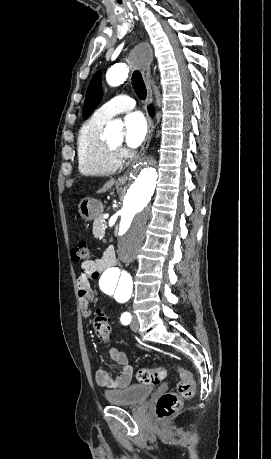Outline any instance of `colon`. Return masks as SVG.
<instances>
[{
  "label": "colon",
  "mask_w": 271,
  "mask_h": 459,
  "mask_svg": "<svg viewBox=\"0 0 271 459\" xmlns=\"http://www.w3.org/2000/svg\"><path fill=\"white\" fill-rule=\"evenodd\" d=\"M72 260L75 262L86 261L91 257V252L86 241H80L71 250ZM94 333L99 341L106 342L111 338V325L106 312L98 309L92 320ZM176 370L179 375V382L176 389L162 394L156 402V415L159 419H167L176 414L181 408L182 401L194 395V380L191 371L178 366ZM166 377L164 367L152 369H139L136 373L137 380L145 385H158Z\"/></svg>",
  "instance_id": "1"
}]
</instances>
